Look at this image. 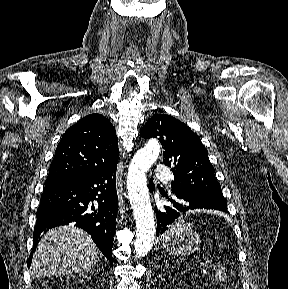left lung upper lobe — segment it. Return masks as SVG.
I'll return each instance as SVG.
<instances>
[{"mask_svg": "<svg viewBox=\"0 0 288 289\" xmlns=\"http://www.w3.org/2000/svg\"><path fill=\"white\" fill-rule=\"evenodd\" d=\"M143 138L158 137L164 147L163 163L172 168L174 193L194 194L227 207L208 151L188 126L172 116L153 115L142 128Z\"/></svg>", "mask_w": 288, "mask_h": 289, "instance_id": "obj_1", "label": "left lung upper lobe"}]
</instances>
